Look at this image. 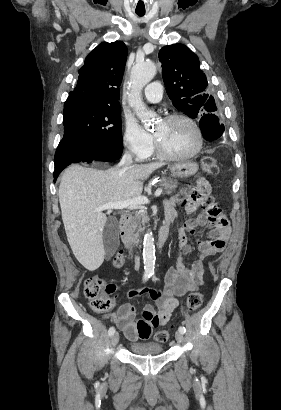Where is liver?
Segmentation results:
<instances>
[{
    "label": "liver",
    "instance_id": "6515ba94",
    "mask_svg": "<svg viewBox=\"0 0 281 410\" xmlns=\"http://www.w3.org/2000/svg\"><path fill=\"white\" fill-rule=\"evenodd\" d=\"M162 166L156 162L103 171L74 164L65 170L58 191L62 220L73 254L86 269H98L105 255L107 216L96 208L140 196L143 181Z\"/></svg>",
    "mask_w": 281,
    "mask_h": 410
}]
</instances>
